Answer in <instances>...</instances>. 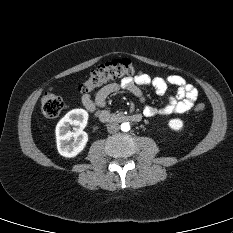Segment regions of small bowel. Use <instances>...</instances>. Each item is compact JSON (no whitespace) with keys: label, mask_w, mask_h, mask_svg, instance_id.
I'll return each instance as SVG.
<instances>
[{"label":"small bowel","mask_w":233,"mask_h":233,"mask_svg":"<svg viewBox=\"0 0 233 233\" xmlns=\"http://www.w3.org/2000/svg\"><path fill=\"white\" fill-rule=\"evenodd\" d=\"M169 85L177 88L176 95L170 98L169 103L162 108L145 105L143 114L146 117H153L156 115L183 114L189 111L198 99V91L180 75H170L164 78L139 74L134 78H124L120 83H111L102 87L94 98L89 94H84L81 101L89 112L95 114L101 120V116L110 114L106 109L108 97L119 90L123 89L130 92L140 102L144 103L145 96L142 92V87L151 86L158 95H163Z\"/></svg>","instance_id":"small-bowel-1"}]
</instances>
